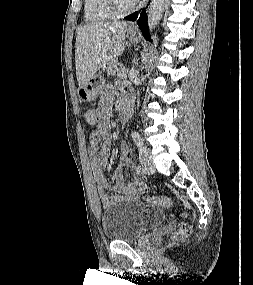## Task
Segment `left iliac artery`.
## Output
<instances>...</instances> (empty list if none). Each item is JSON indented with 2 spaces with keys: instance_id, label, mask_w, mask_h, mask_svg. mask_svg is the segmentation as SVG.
Returning <instances> with one entry per match:
<instances>
[{
  "instance_id": "44dca946",
  "label": "left iliac artery",
  "mask_w": 253,
  "mask_h": 285,
  "mask_svg": "<svg viewBox=\"0 0 253 285\" xmlns=\"http://www.w3.org/2000/svg\"><path fill=\"white\" fill-rule=\"evenodd\" d=\"M132 137H133L134 142L139 148L143 147V140L138 133H134Z\"/></svg>"
}]
</instances>
